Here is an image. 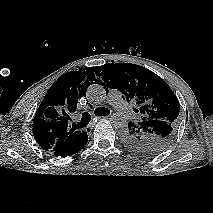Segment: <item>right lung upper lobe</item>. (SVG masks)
Here are the masks:
<instances>
[{"mask_svg": "<svg viewBox=\"0 0 213 213\" xmlns=\"http://www.w3.org/2000/svg\"><path fill=\"white\" fill-rule=\"evenodd\" d=\"M94 67L72 71L61 76L48 90L33 120L36 142L48 152L73 144L85 131L68 125L70 114L76 111L77 101L96 78Z\"/></svg>", "mask_w": 213, "mask_h": 213, "instance_id": "cb5924a9", "label": "right lung upper lobe"}]
</instances>
